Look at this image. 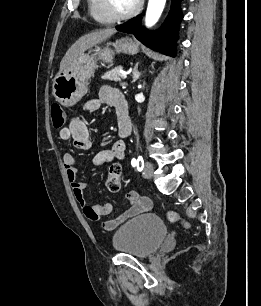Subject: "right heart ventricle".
Wrapping results in <instances>:
<instances>
[{
	"mask_svg": "<svg viewBox=\"0 0 261 306\" xmlns=\"http://www.w3.org/2000/svg\"><path fill=\"white\" fill-rule=\"evenodd\" d=\"M87 6L90 16L99 23L108 24L111 20L103 11L101 0H87Z\"/></svg>",
	"mask_w": 261,
	"mask_h": 306,
	"instance_id": "e07e8e85",
	"label": "right heart ventricle"
}]
</instances>
